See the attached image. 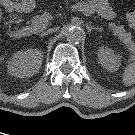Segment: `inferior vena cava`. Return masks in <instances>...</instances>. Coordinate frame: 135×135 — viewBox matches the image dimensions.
<instances>
[{
  "instance_id": "1",
  "label": "inferior vena cava",
  "mask_w": 135,
  "mask_h": 135,
  "mask_svg": "<svg viewBox=\"0 0 135 135\" xmlns=\"http://www.w3.org/2000/svg\"><path fill=\"white\" fill-rule=\"evenodd\" d=\"M54 31H55V29H49V30L45 31L44 33H42L41 36L48 35V34L54 32Z\"/></svg>"
}]
</instances>
